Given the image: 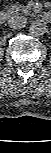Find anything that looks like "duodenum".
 Instances as JSON below:
<instances>
[{
    "mask_svg": "<svg viewBox=\"0 0 51 153\" xmlns=\"http://www.w3.org/2000/svg\"><path fill=\"white\" fill-rule=\"evenodd\" d=\"M7 18H8V12L4 9H2L0 11V23H5L7 21ZM42 18L45 20V21H48L50 18H51V15L49 12H45L42 16Z\"/></svg>",
    "mask_w": 51,
    "mask_h": 153,
    "instance_id": "obj_1",
    "label": "duodenum"
}]
</instances>
